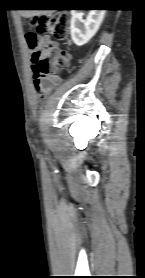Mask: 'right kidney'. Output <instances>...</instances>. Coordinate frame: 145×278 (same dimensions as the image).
<instances>
[{"mask_svg":"<svg viewBox=\"0 0 145 278\" xmlns=\"http://www.w3.org/2000/svg\"><path fill=\"white\" fill-rule=\"evenodd\" d=\"M70 32L77 46L86 44L97 32L104 18L105 10H89L83 19L84 10H71Z\"/></svg>","mask_w":145,"mask_h":278,"instance_id":"ca27d5eb","label":"right kidney"}]
</instances>
